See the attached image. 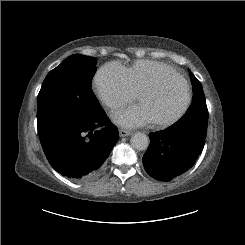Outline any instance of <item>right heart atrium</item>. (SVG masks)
<instances>
[{
    "label": "right heart atrium",
    "instance_id": "obj_1",
    "mask_svg": "<svg viewBox=\"0 0 245 245\" xmlns=\"http://www.w3.org/2000/svg\"><path fill=\"white\" fill-rule=\"evenodd\" d=\"M93 87L99 100L111 110L134 101L138 95L126 68L117 62L106 63L97 70Z\"/></svg>",
    "mask_w": 245,
    "mask_h": 245
}]
</instances>
